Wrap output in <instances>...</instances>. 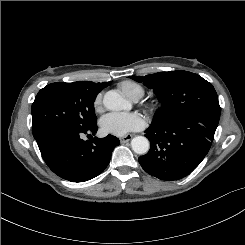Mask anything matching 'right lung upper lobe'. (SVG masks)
<instances>
[{"mask_svg": "<svg viewBox=\"0 0 245 245\" xmlns=\"http://www.w3.org/2000/svg\"><path fill=\"white\" fill-rule=\"evenodd\" d=\"M78 83L101 91L103 88L109 86L111 82L93 83L90 81H78Z\"/></svg>", "mask_w": 245, "mask_h": 245, "instance_id": "cb5924a9", "label": "right lung upper lobe"}]
</instances>
